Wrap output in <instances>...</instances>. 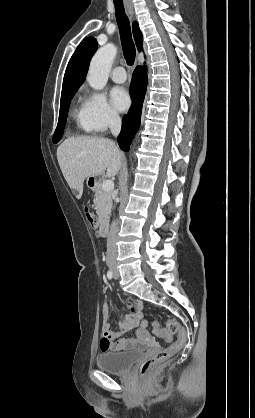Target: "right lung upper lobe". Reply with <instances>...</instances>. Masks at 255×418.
Here are the masks:
<instances>
[{
	"instance_id": "cb5924a9",
	"label": "right lung upper lobe",
	"mask_w": 255,
	"mask_h": 418,
	"mask_svg": "<svg viewBox=\"0 0 255 418\" xmlns=\"http://www.w3.org/2000/svg\"><path fill=\"white\" fill-rule=\"evenodd\" d=\"M133 36L138 51H143V37L138 23L133 22ZM97 50V41L93 37L85 38L72 55L64 75L62 93L78 90L84 82L91 57Z\"/></svg>"
}]
</instances>
